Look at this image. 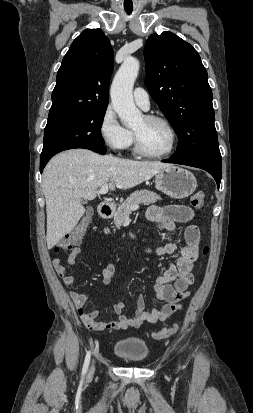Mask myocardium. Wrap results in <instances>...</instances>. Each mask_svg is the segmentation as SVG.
Listing matches in <instances>:
<instances>
[{
  "label": "myocardium",
  "mask_w": 253,
  "mask_h": 413,
  "mask_svg": "<svg viewBox=\"0 0 253 413\" xmlns=\"http://www.w3.org/2000/svg\"><path fill=\"white\" fill-rule=\"evenodd\" d=\"M144 118L149 121V122H159L162 123L170 132L171 135V141H170V145L168 147V149H166L163 152L160 153H151L148 152L144 149V147L141 144V141L139 139V136L137 135V133L135 131H133V137H134V146H135V151L146 158H162L165 156H168L169 154H171L177 144L178 141V135H177V131L175 129V127L173 126V124L165 117L159 116V115H146L144 116Z\"/></svg>",
  "instance_id": "myocardium-1"
}]
</instances>
